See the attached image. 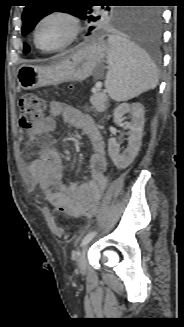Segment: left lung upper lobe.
<instances>
[{
    "instance_id": "1",
    "label": "left lung upper lobe",
    "mask_w": 184,
    "mask_h": 327,
    "mask_svg": "<svg viewBox=\"0 0 184 327\" xmlns=\"http://www.w3.org/2000/svg\"><path fill=\"white\" fill-rule=\"evenodd\" d=\"M91 2L90 0H77L76 4L66 6L56 4L58 3L56 0H31L30 5L25 7L22 14V34L27 35L40 19L55 11L67 12L94 24L89 27V31L106 24L133 26L141 17L142 9H111L110 6H101L103 11L100 13L96 7L89 4ZM109 2L127 1L113 0ZM29 51L30 47L24 44L23 52L27 54Z\"/></svg>"
}]
</instances>
